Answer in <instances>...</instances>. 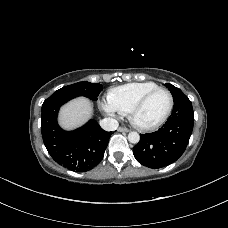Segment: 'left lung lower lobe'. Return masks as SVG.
<instances>
[{"label":"left lung lower lobe","mask_w":228,"mask_h":228,"mask_svg":"<svg viewBox=\"0 0 228 228\" xmlns=\"http://www.w3.org/2000/svg\"><path fill=\"white\" fill-rule=\"evenodd\" d=\"M193 124L191 101L187 96L176 100L171 116L158 131L140 135V141L133 149L134 157L149 168L168 166L184 153Z\"/></svg>","instance_id":"obj_1"}]
</instances>
